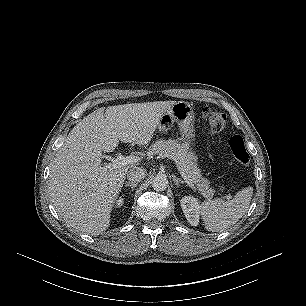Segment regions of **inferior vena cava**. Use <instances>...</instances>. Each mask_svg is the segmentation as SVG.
Listing matches in <instances>:
<instances>
[{"instance_id":"obj_1","label":"inferior vena cava","mask_w":306,"mask_h":306,"mask_svg":"<svg viewBox=\"0 0 306 306\" xmlns=\"http://www.w3.org/2000/svg\"><path fill=\"white\" fill-rule=\"evenodd\" d=\"M146 170L142 167H134L128 170L127 179L132 183H137L145 178Z\"/></svg>"}]
</instances>
